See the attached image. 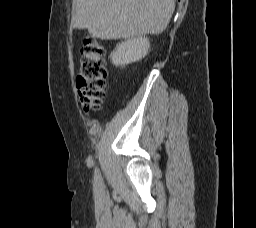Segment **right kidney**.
<instances>
[{"label": "right kidney", "instance_id": "right-kidney-1", "mask_svg": "<svg viewBox=\"0 0 256 228\" xmlns=\"http://www.w3.org/2000/svg\"><path fill=\"white\" fill-rule=\"evenodd\" d=\"M150 48L147 37L131 38L119 43L111 55L115 66H125L144 58Z\"/></svg>", "mask_w": 256, "mask_h": 228}]
</instances>
